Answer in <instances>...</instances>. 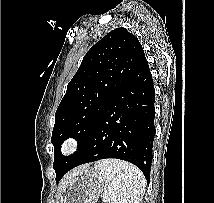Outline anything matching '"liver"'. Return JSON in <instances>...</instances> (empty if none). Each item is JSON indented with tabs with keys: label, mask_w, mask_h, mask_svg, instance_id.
<instances>
[{
	"label": "liver",
	"mask_w": 214,
	"mask_h": 203,
	"mask_svg": "<svg viewBox=\"0 0 214 203\" xmlns=\"http://www.w3.org/2000/svg\"><path fill=\"white\" fill-rule=\"evenodd\" d=\"M82 167H78L71 172H69L61 181V189H63L65 186H67L70 182H72L73 178L78 174Z\"/></svg>",
	"instance_id": "liver-1"
}]
</instances>
